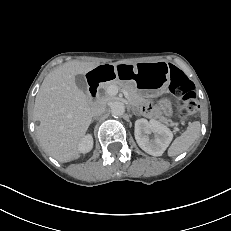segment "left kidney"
Returning <instances> with one entry per match:
<instances>
[{
	"instance_id": "left-kidney-1",
	"label": "left kidney",
	"mask_w": 231,
	"mask_h": 231,
	"mask_svg": "<svg viewBox=\"0 0 231 231\" xmlns=\"http://www.w3.org/2000/svg\"><path fill=\"white\" fill-rule=\"evenodd\" d=\"M135 139L142 150L153 156H161L170 142L173 134L169 128L157 120L144 118L135 121ZM154 133V139L149 134Z\"/></svg>"
}]
</instances>
